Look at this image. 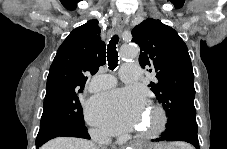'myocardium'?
<instances>
[{"instance_id": "1", "label": "myocardium", "mask_w": 227, "mask_h": 149, "mask_svg": "<svg viewBox=\"0 0 227 149\" xmlns=\"http://www.w3.org/2000/svg\"><path fill=\"white\" fill-rule=\"evenodd\" d=\"M149 111L155 116V121L149 128L139 131V137L145 139L160 135L164 131L168 121L167 114L161 106L150 103Z\"/></svg>"}]
</instances>
